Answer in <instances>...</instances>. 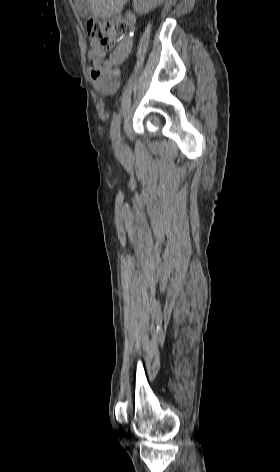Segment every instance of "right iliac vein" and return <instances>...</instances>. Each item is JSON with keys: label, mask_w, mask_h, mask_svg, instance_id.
I'll use <instances>...</instances> for the list:
<instances>
[{"label": "right iliac vein", "mask_w": 280, "mask_h": 472, "mask_svg": "<svg viewBox=\"0 0 280 472\" xmlns=\"http://www.w3.org/2000/svg\"><path fill=\"white\" fill-rule=\"evenodd\" d=\"M120 152H121L122 156H124V157L128 156L129 155L128 146L126 144H122Z\"/></svg>", "instance_id": "1"}]
</instances>
